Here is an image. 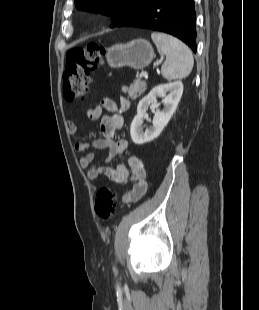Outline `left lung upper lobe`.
<instances>
[{
  "label": "left lung upper lobe",
  "instance_id": "left-lung-upper-lobe-1",
  "mask_svg": "<svg viewBox=\"0 0 259 310\" xmlns=\"http://www.w3.org/2000/svg\"><path fill=\"white\" fill-rule=\"evenodd\" d=\"M151 0H75L78 10L102 13L110 16L116 26L129 14L149 3Z\"/></svg>",
  "mask_w": 259,
  "mask_h": 310
}]
</instances>
